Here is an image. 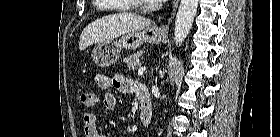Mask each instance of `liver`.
I'll list each match as a JSON object with an SVG mask.
<instances>
[{"label": "liver", "instance_id": "6515ba94", "mask_svg": "<svg viewBox=\"0 0 280 137\" xmlns=\"http://www.w3.org/2000/svg\"><path fill=\"white\" fill-rule=\"evenodd\" d=\"M151 23L150 19L127 12L101 17L83 29L79 49L83 51L94 43L110 41L127 33L140 31Z\"/></svg>", "mask_w": 280, "mask_h": 137}]
</instances>
